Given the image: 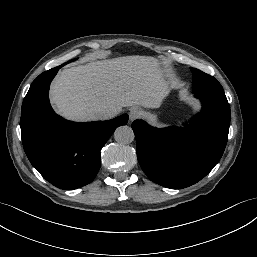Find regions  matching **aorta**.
<instances>
[{
    "instance_id": "obj_1",
    "label": "aorta",
    "mask_w": 257,
    "mask_h": 257,
    "mask_svg": "<svg viewBox=\"0 0 257 257\" xmlns=\"http://www.w3.org/2000/svg\"><path fill=\"white\" fill-rule=\"evenodd\" d=\"M114 138L120 144H129L134 141L135 135L131 127L120 126L115 130Z\"/></svg>"
}]
</instances>
